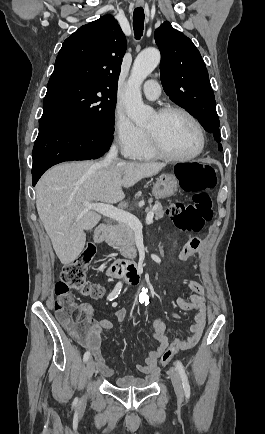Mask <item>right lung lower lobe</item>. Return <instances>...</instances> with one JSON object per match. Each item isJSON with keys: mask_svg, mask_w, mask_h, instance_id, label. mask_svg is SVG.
Wrapping results in <instances>:
<instances>
[{"mask_svg": "<svg viewBox=\"0 0 265 434\" xmlns=\"http://www.w3.org/2000/svg\"><path fill=\"white\" fill-rule=\"evenodd\" d=\"M112 139V134L77 126L59 114L43 113L33 148V186L40 176L55 164L103 156Z\"/></svg>", "mask_w": 265, "mask_h": 434, "instance_id": "right-lung-lower-lobe-1", "label": "right lung lower lobe"}]
</instances>
